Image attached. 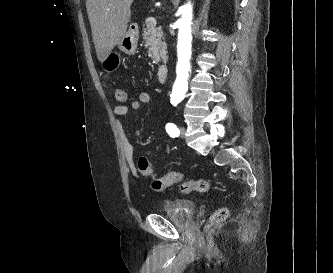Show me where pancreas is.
I'll use <instances>...</instances> for the list:
<instances>
[{"instance_id":"1","label":"pancreas","mask_w":333,"mask_h":273,"mask_svg":"<svg viewBox=\"0 0 333 273\" xmlns=\"http://www.w3.org/2000/svg\"><path fill=\"white\" fill-rule=\"evenodd\" d=\"M142 36L145 41V47L148 48V56L153 60V63H158L160 60L165 59L167 47L163 41L164 35L162 30L151 27L146 22V29H144Z\"/></svg>"}]
</instances>
